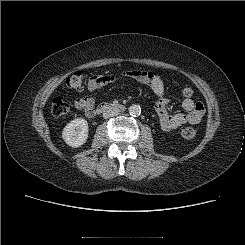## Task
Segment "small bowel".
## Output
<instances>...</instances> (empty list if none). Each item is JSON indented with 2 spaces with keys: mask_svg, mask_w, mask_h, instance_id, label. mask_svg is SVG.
<instances>
[{
  "mask_svg": "<svg viewBox=\"0 0 245 245\" xmlns=\"http://www.w3.org/2000/svg\"><path fill=\"white\" fill-rule=\"evenodd\" d=\"M121 78H131L147 85L157 98L156 111L159 117V124L163 131H171L184 124L199 123L204 114L205 107L201 102H195L191 97L182 101V108L186 113L169 114L167 105L169 100L165 97V84L163 79L152 71L131 70L118 75H97L89 79V91H95L105 84L114 82ZM97 84V80H99ZM76 107L86 116H93L95 100L92 97H79L75 101Z\"/></svg>",
  "mask_w": 245,
  "mask_h": 245,
  "instance_id": "1",
  "label": "small bowel"
}]
</instances>
